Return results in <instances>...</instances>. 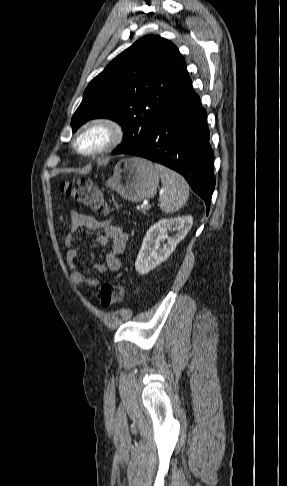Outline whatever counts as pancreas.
<instances>
[{
	"label": "pancreas",
	"instance_id": "obj_1",
	"mask_svg": "<svg viewBox=\"0 0 287 486\" xmlns=\"http://www.w3.org/2000/svg\"><path fill=\"white\" fill-rule=\"evenodd\" d=\"M141 212H142V213H145V212H146V209L142 208V209H141Z\"/></svg>",
	"mask_w": 287,
	"mask_h": 486
}]
</instances>
